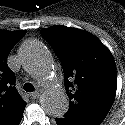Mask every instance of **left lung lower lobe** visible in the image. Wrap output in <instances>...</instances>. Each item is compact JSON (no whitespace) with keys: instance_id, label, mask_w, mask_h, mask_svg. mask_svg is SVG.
I'll return each mask as SVG.
<instances>
[{"instance_id":"left-lung-lower-lobe-1","label":"left lung lower lobe","mask_w":125,"mask_h":125,"mask_svg":"<svg viewBox=\"0 0 125 125\" xmlns=\"http://www.w3.org/2000/svg\"><path fill=\"white\" fill-rule=\"evenodd\" d=\"M56 123L57 125H93V124H89V123H85V122H81V121H77L74 119H70V118H56Z\"/></svg>"}]
</instances>
